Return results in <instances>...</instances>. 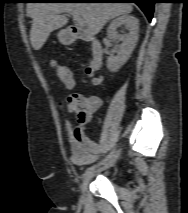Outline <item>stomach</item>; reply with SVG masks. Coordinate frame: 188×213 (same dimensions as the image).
Segmentation results:
<instances>
[{"label":"stomach","instance_id":"stomach-1","mask_svg":"<svg viewBox=\"0 0 188 213\" xmlns=\"http://www.w3.org/2000/svg\"><path fill=\"white\" fill-rule=\"evenodd\" d=\"M59 41L65 45L73 42V36L66 30L59 32L58 34Z\"/></svg>","mask_w":188,"mask_h":213}]
</instances>
